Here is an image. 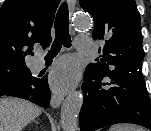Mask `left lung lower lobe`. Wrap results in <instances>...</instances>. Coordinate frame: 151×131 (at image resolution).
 <instances>
[{"label":"left lung lower lobe","mask_w":151,"mask_h":131,"mask_svg":"<svg viewBox=\"0 0 151 131\" xmlns=\"http://www.w3.org/2000/svg\"><path fill=\"white\" fill-rule=\"evenodd\" d=\"M80 131H95L117 123L151 130V103L141 68L97 76L86 69Z\"/></svg>","instance_id":"left-lung-lower-lobe-1"}]
</instances>
